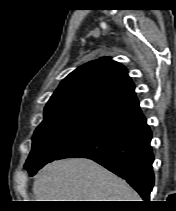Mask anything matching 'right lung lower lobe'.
<instances>
[{
  "instance_id": "obj_1",
  "label": "right lung lower lobe",
  "mask_w": 176,
  "mask_h": 211,
  "mask_svg": "<svg viewBox=\"0 0 176 211\" xmlns=\"http://www.w3.org/2000/svg\"><path fill=\"white\" fill-rule=\"evenodd\" d=\"M151 138L146 118L138 108L99 122L49 162L71 157L92 159L125 179L148 202L154 184Z\"/></svg>"
}]
</instances>
